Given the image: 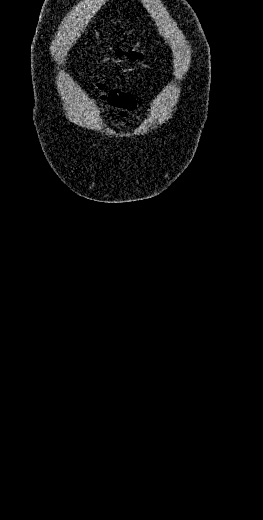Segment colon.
<instances>
[{
    "mask_svg": "<svg viewBox=\"0 0 263 520\" xmlns=\"http://www.w3.org/2000/svg\"><path fill=\"white\" fill-rule=\"evenodd\" d=\"M117 55H119V56L125 55V56H128L132 60L140 59L143 56L141 53H139L137 51H124L121 49L117 50Z\"/></svg>",
    "mask_w": 263,
    "mask_h": 520,
    "instance_id": "1",
    "label": "colon"
}]
</instances>
